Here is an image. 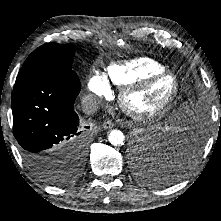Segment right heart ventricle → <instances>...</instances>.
<instances>
[{"label": "right heart ventricle", "mask_w": 221, "mask_h": 221, "mask_svg": "<svg viewBox=\"0 0 221 221\" xmlns=\"http://www.w3.org/2000/svg\"><path fill=\"white\" fill-rule=\"evenodd\" d=\"M165 70L163 64L152 58L138 57L108 66L105 79L117 86L126 87Z\"/></svg>", "instance_id": "1"}]
</instances>
